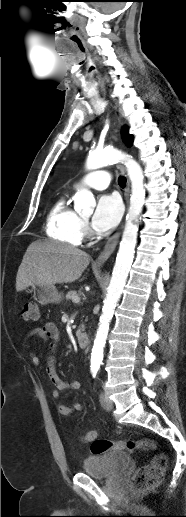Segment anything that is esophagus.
<instances>
[{"mask_svg": "<svg viewBox=\"0 0 186 517\" xmlns=\"http://www.w3.org/2000/svg\"><path fill=\"white\" fill-rule=\"evenodd\" d=\"M130 193V182L127 180V185L125 189V200L126 205L128 204V198ZM123 224L120 226V228L108 239L107 243L105 244L103 250L95 260L96 265H103L108 258L111 256V254L114 252L118 242L119 238L121 236V230H122Z\"/></svg>", "mask_w": 186, "mask_h": 517, "instance_id": "1", "label": "esophagus"}]
</instances>
